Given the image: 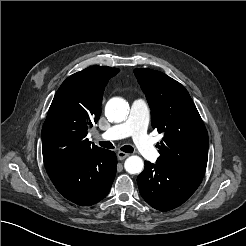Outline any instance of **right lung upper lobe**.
Instances as JSON below:
<instances>
[{
    "label": "right lung upper lobe",
    "instance_id": "1",
    "mask_svg": "<svg viewBox=\"0 0 246 246\" xmlns=\"http://www.w3.org/2000/svg\"><path fill=\"white\" fill-rule=\"evenodd\" d=\"M120 70L91 66L68 77L56 92L42 127L45 167L104 149L86 138L101 115L104 88Z\"/></svg>",
    "mask_w": 246,
    "mask_h": 246
}]
</instances>
